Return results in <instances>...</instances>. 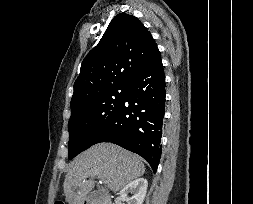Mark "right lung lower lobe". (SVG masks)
I'll return each instance as SVG.
<instances>
[{"label": "right lung lower lobe", "mask_w": 253, "mask_h": 204, "mask_svg": "<svg viewBox=\"0 0 253 204\" xmlns=\"http://www.w3.org/2000/svg\"><path fill=\"white\" fill-rule=\"evenodd\" d=\"M126 88L122 105L94 144L111 142L135 152L156 172L165 108V76L159 50Z\"/></svg>", "instance_id": "right-lung-lower-lobe-1"}]
</instances>
